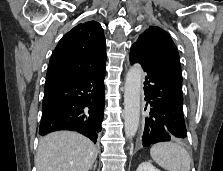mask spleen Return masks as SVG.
<instances>
[{
  "mask_svg": "<svg viewBox=\"0 0 223 171\" xmlns=\"http://www.w3.org/2000/svg\"><path fill=\"white\" fill-rule=\"evenodd\" d=\"M151 158L167 171H190L191 160L188 152L179 144L161 142L150 149Z\"/></svg>",
  "mask_w": 223,
  "mask_h": 171,
  "instance_id": "spleen-1",
  "label": "spleen"
}]
</instances>
